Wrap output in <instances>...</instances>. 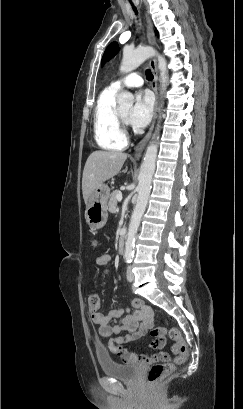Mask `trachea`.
I'll return each instance as SVG.
<instances>
[{
    "label": "trachea",
    "mask_w": 243,
    "mask_h": 409,
    "mask_svg": "<svg viewBox=\"0 0 243 409\" xmlns=\"http://www.w3.org/2000/svg\"><path fill=\"white\" fill-rule=\"evenodd\" d=\"M134 12L137 14V10L135 6H132ZM146 78L147 80H152L154 78L153 74L151 73V71L149 69L146 70Z\"/></svg>",
    "instance_id": "3493384b"
}]
</instances>
